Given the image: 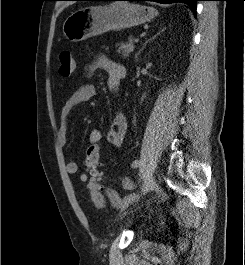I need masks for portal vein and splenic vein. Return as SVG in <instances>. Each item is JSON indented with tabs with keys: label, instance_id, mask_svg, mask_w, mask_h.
<instances>
[{
	"label": "portal vein and splenic vein",
	"instance_id": "18ae733b",
	"mask_svg": "<svg viewBox=\"0 0 245 265\" xmlns=\"http://www.w3.org/2000/svg\"><path fill=\"white\" fill-rule=\"evenodd\" d=\"M139 42V39H135V43H138Z\"/></svg>",
	"mask_w": 245,
	"mask_h": 265
}]
</instances>
